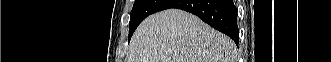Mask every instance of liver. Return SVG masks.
I'll return each instance as SVG.
<instances>
[{
	"instance_id": "obj_1",
	"label": "liver",
	"mask_w": 331,
	"mask_h": 62,
	"mask_svg": "<svg viewBox=\"0 0 331 62\" xmlns=\"http://www.w3.org/2000/svg\"><path fill=\"white\" fill-rule=\"evenodd\" d=\"M236 45L197 16L169 9L136 29L128 62H235Z\"/></svg>"
}]
</instances>
